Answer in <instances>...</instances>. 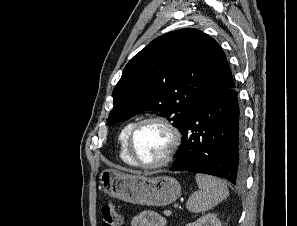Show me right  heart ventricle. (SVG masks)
<instances>
[{"instance_id":"obj_1","label":"right heart ventricle","mask_w":297,"mask_h":226,"mask_svg":"<svg viewBox=\"0 0 297 226\" xmlns=\"http://www.w3.org/2000/svg\"><path fill=\"white\" fill-rule=\"evenodd\" d=\"M133 124H134L133 121L125 124L124 127L122 128V130L120 131L119 137H118L119 144H120V152H119L120 159L124 163L131 165V166H134L135 164L133 163L132 159L130 158V156L128 154L126 141H127L128 133H129Z\"/></svg>"}]
</instances>
